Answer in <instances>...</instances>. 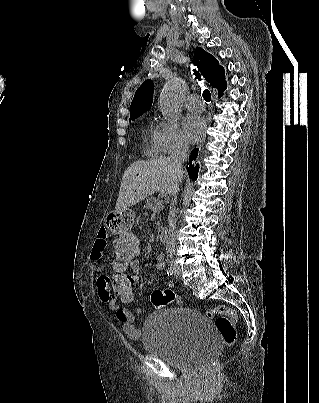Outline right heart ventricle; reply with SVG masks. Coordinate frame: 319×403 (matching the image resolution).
<instances>
[{
  "label": "right heart ventricle",
  "mask_w": 319,
  "mask_h": 403,
  "mask_svg": "<svg viewBox=\"0 0 319 403\" xmlns=\"http://www.w3.org/2000/svg\"><path fill=\"white\" fill-rule=\"evenodd\" d=\"M144 151L148 156H156L160 153L159 146L156 142V128H148L146 130Z\"/></svg>",
  "instance_id": "obj_1"
}]
</instances>
